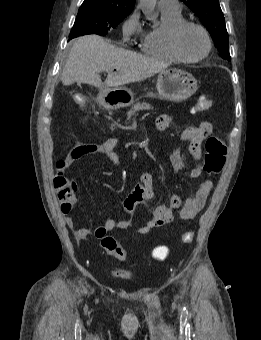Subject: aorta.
<instances>
[{
  "instance_id": "1",
  "label": "aorta",
  "mask_w": 261,
  "mask_h": 340,
  "mask_svg": "<svg viewBox=\"0 0 261 340\" xmlns=\"http://www.w3.org/2000/svg\"><path fill=\"white\" fill-rule=\"evenodd\" d=\"M156 1L157 0H140V6H141L144 14L149 19L155 18L154 9H155V6H156Z\"/></svg>"
}]
</instances>
